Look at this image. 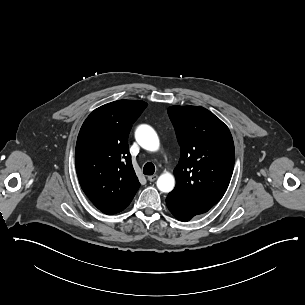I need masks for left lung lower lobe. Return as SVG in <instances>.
Segmentation results:
<instances>
[{"mask_svg":"<svg viewBox=\"0 0 305 305\" xmlns=\"http://www.w3.org/2000/svg\"><path fill=\"white\" fill-rule=\"evenodd\" d=\"M166 204L174 217L183 222L189 221L194 216L203 214L209 210L206 208L187 205L171 194H168V197L166 198Z\"/></svg>","mask_w":305,"mask_h":305,"instance_id":"obj_1","label":"left lung lower lobe"}]
</instances>
